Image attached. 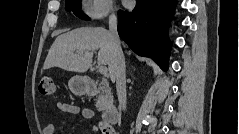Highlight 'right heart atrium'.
Returning <instances> with one entry per match:
<instances>
[{
  "mask_svg": "<svg viewBox=\"0 0 239 134\" xmlns=\"http://www.w3.org/2000/svg\"><path fill=\"white\" fill-rule=\"evenodd\" d=\"M83 9L90 19L101 20L112 14L113 2L111 0H87Z\"/></svg>",
  "mask_w": 239,
  "mask_h": 134,
  "instance_id": "obj_1",
  "label": "right heart atrium"
}]
</instances>
